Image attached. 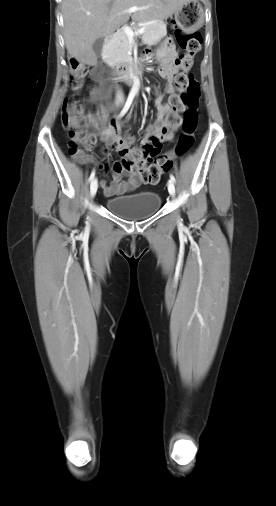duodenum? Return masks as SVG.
Instances as JSON below:
<instances>
[{"label": "duodenum", "mask_w": 276, "mask_h": 506, "mask_svg": "<svg viewBox=\"0 0 276 506\" xmlns=\"http://www.w3.org/2000/svg\"><path fill=\"white\" fill-rule=\"evenodd\" d=\"M114 35L109 34L104 38V44L109 45L113 40ZM144 58H141V63H143ZM113 68L115 69L116 78L122 81H131L136 79V75L140 66L137 63L132 64H123V63H115L113 64Z\"/></svg>", "instance_id": "410a0bca"}]
</instances>
